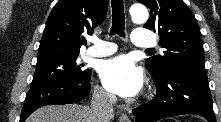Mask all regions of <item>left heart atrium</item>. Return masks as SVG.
Listing matches in <instances>:
<instances>
[{
    "mask_svg": "<svg viewBox=\"0 0 221 122\" xmlns=\"http://www.w3.org/2000/svg\"><path fill=\"white\" fill-rule=\"evenodd\" d=\"M103 86L111 93L129 98L137 95L143 86V74L127 55L105 60L99 67Z\"/></svg>",
    "mask_w": 221,
    "mask_h": 122,
    "instance_id": "1",
    "label": "left heart atrium"
}]
</instances>
